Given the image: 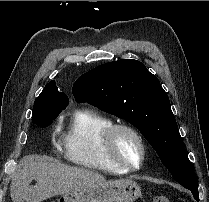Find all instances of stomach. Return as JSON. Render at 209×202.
<instances>
[{"mask_svg":"<svg viewBox=\"0 0 209 202\" xmlns=\"http://www.w3.org/2000/svg\"><path fill=\"white\" fill-rule=\"evenodd\" d=\"M141 187L128 179L103 181L62 194L57 202H134Z\"/></svg>","mask_w":209,"mask_h":202,"instance_id":"1","label":"stomach"}]
</instances>
